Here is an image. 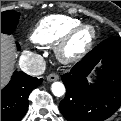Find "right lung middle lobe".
Returning <instances> with one entry per match:
<instances>
[{"mask_svg": "<svg viewBox=\"0 0 121 121\" xmlns=\"http://www.w3.org/2000/svg\"><path fill=\"white\" fill-rule=\"evenodd\" d=\"M20 13L13 10L1 13V32L11 34L19 22Z\"/></svg>", "mask_w": 121, "mask_h": 121, "instance_id": "1", "label": "right lung middle lobe"}]
</instances>
